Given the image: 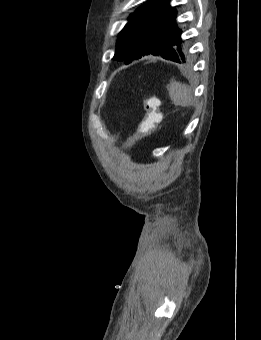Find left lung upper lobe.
I'll return each mask as SVG.
<instances>
[{
    "instance_id": "obj_1",
    "label": "left lung upper lobe",
    "mask_w": 261,
    "mask_h": 340,
    "mask_svg": "<svg viewBox=\"0 0 261 340\" xmlns=\"http://www.w3.org/2000/svg\"><path fill=\"white\" fill-rule=\"evenodd\" d=\"M166 0H151L130 15L118 36L114 59L130 63L133 59L165 49L173 51L184 61L187 46L181 39V29L175 19H166L161 10Z\"/></svg>"
}]
</instances>
